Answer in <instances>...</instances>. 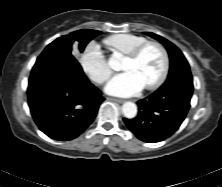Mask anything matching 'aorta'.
Masks as SVG:
<instances>
[{
  "label": "aorta",
  "mask_w": 222,
  "mask_h": 187,
  "mask_svg": "<svg viewBox=\"0 0 222 187\" xmlns=\"http://www.w3.org/2000/svg\"><path fill=\"white\" fill-rule=\"evenodd\" d=\"M110 62L112 63V60ZM122 113L128 119L134 118L137 115L136 104L133 102H125L122 106Z\"/></svg>",
  "instance_id": "1"
}]
</instances>
